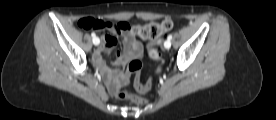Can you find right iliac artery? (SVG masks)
I'll use <instances>...</instances> for the list:
<instances>
[{"label": "right iliac artery", "instance_id": "1", "mask_svg": "<svg viewBox=\"0 0 276 120\" xmlns=\"http://www.w3.org/2000/svg\"><path fill=\"white\" fill-rule=\"evenodd\" d=\"M91 36L93 37V43L95 44V39H96V34L95 33H92ZM97 43H100V40L98 39V42Z\"/></svg>", "mask_w": 276, "mask_h": 120}]
</instances>
